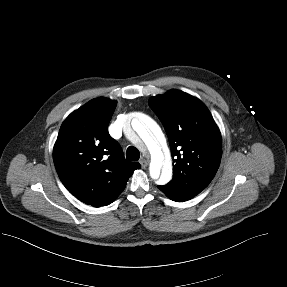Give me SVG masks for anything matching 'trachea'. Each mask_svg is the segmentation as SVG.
<instances>
[{"instance_id":"1","label":"trachea","mask_w":287,"mask_h":287,"mask_svg":"<svg viewBox=\"0 0 287 287\" xmlns=\"http://www.w3.org/2000/svg\"><path fill=\"white\" fill-rule=\"evenodd\" d=\"M126 158L131 161H137L140 158L139 150L134 146H129L126 151Z\"/></svg>"}]
</instances>
